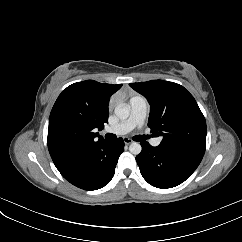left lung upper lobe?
Instances as JSON below:
<instances>
[{
  "mask_svg": "<svg viewBox=\"0 0 242 242\" xmlns=\"http://www.w3.org/2000/svg\"><path fill=\"white\" fill-rule=\"evenodd\" d=\"M150 104L148 126L162 135L160 145L204 155L206 121L193 96L181 85L163 80L129 84Z\"/></svg>",
  "mask_w": 242,
  "mask_h": 242,
  "instance_id": "obj_1",
  "label": "left lung upper lobe"
}]
</instances>
